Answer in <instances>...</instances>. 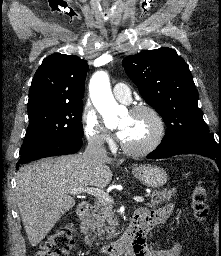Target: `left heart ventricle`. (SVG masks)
I'll return each instance as SVG.
<instances>
[{
  "instance_id": "1",
  "label": "left heart ventricle",
  "mask_w": 221,
  "mask_h": 256,
  "mask_svg": "<svg viewBox=\"0 0 221 256\" xmlns=\"http://www.w3.org/2000/svg\"><path fill=\"white\" fill-rule=\"evenodd\" d=\"M118 127L127 131L124 142L131 146H141L152 139L155 133L153 119L146 113L126 114Z\"/></svg>"
}]
</instances>
